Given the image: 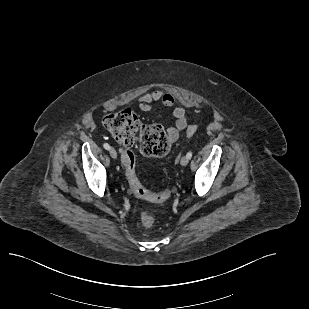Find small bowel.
I'll return each instance as SVG.
<instances>
[{"label":"small bowel","mask_w":309,"mask_h":309,"mask_svg":"<svg viewBox=\"0 0 309 309\" xmlns=\"http://www.w3.org/2000/svg\"><path fill=\"white\" fill-rule=\"evenodd\" d=\"M139 109L142 112H148L152 108L154 102L160 103L163 107L173 108L172 118L175 121V125L167 128V137L170 143L175 142L180 134L187 127V114L184 108L175 104V98L170 93H167L161 89H156L150 92H146L139 96Z\"/></svg>","instance_id":"c3829d8e"}]
</instances>
